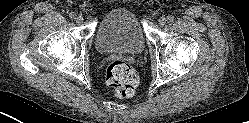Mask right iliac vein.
<instances>
[{"label":"right iliac vein","instance_id":"63e3f726","mask_svg":"<svg viewBox=\"0 0 249 123\" xmlns=\"http://www.w3.org/2000/svg\"><path fill=\"white\" fill-rule=\"evenodd\" d=\"M83 21H84L83 16L79 15V16L76 17V22H77L78 24L83 23Z\"/></svg>","mask_w":249,"mask_h":123}]
</instances>
